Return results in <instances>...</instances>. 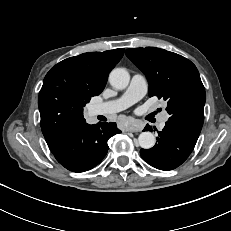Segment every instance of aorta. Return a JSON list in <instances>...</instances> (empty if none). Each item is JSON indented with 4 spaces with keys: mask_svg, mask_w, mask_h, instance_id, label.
<instances>
[{
    "mask_svg": "<svg viewBox=\"0 0 231 231\" xmlns=\"http://www.w3.org/2000/svg\"><path fill=\"white\" fill-rule=\"evenodd\" d=\"M130 81V75L124 68H115L109 75V82L112 87L122 90L125 89ZM156 139L149 131L142 132L138 137V143L143 149H150L155 145Z\"/></svg>",
    "mask_w": 231,
    "mask_h": 231,
    "instance_id": "1",
    "label": "aorta"
}]
</instances>
